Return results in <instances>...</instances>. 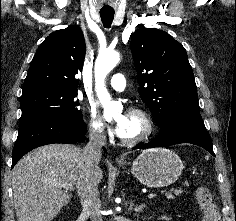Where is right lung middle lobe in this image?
<instances>
[{"label":"right lung middle lobe","instance_id":"obj_1","mask_svg":"<svg viewBox=\"0 0 236 221\" xmlns=\"http://www.w3.org/2000/svg\"><path fill=\"white\" fill-rule=\"evenodd\" d=\"M77 91H59L41 89L32 91L21 96L22 116L36 113H56L71 117H82L81 110L75 98Z\"/></svg>","mask_w":236,"mask_h":221}]
</instances>
